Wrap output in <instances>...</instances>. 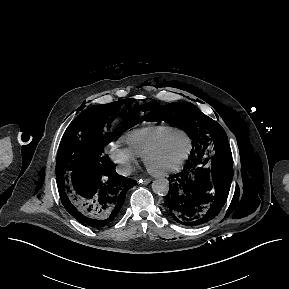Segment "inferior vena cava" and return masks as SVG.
Returning a JSON list of instances; mask_svg holds the SVG:
<instances>
[{"mask_svg":"<svg viewBox=\"0 0 289 289\" xmlns=\"http://www.w3.org/2000/svg\"><path fill=\"white\" fill-rule=\"evenodd\" d=\"M132 171V167L130 165H125L122 168L117 169L118 174L128 176Z\"/></svg>","mask_w":289,"mask_h":289,"instance_id":"1","label":"inferior vena cava"}]
</instances>
